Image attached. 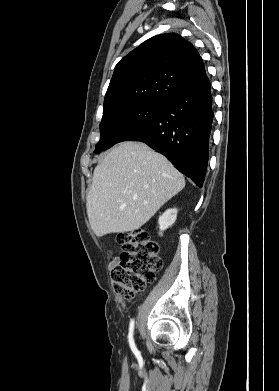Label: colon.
<instances>
[{"mask_svg":"<svg viewBox=\"0 0 279 391\" xmlns=\"http://www.w3.org/2000/svg\"><path fill=\"white\" fill-rule=\"evenodd\" d=\"M117 241L122 253L111 270V280L117 294L131 299L155 281L163 262L157 242L144 229L120 233Z\"/></svg>","mask_w":279,"mask_h":391,"instance_id":"obj_1","label":"colon"}]
</instances>
